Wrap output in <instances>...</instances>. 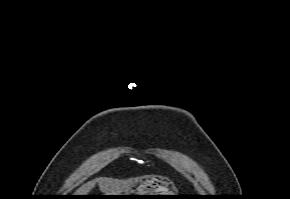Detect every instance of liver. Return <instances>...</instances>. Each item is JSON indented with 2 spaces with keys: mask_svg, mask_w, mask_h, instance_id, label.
Instances as JSON below:
<instances>
[{
  "mask_svg": "<svg viewBox=\"0 0 290 199\" xmlns=\"http://www.w3.org/2000/svg\"><path fill=\"white\" fill-rule=\"evenodd\" d=\"M96 182L98 183L100 190L103 193H106V195L120 194L123 191L128 190L133 184L130 181H119L112 178H98L83 184L75 192L76 195H87V193H89L90 190L95 186Z\"/></svg>",
  "mask_w": 290,
  "mask_h": 199,
  "instance_id": "liver-1",
  "label": "liver"
}]
</instances>
